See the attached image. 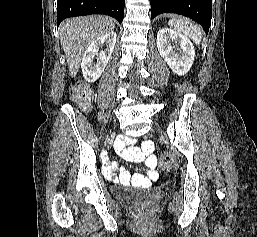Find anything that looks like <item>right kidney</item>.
Listing matches in <instances>:
<instances>
[{
  "label": "right kidney",
  "instance_id": "1",
  "mask_svg": "<svg viewBox=\"0 0 257 237\" xmlns=\"http://www.w3.org/2000/svg\"><path fill=\"white\" fill-rule=\"evenodd\" d=\"M116 38V33L109 31L87 47L81 62L83 77L86 81L95 82L101 76L114 50ZM103 45H106V48L99 51ZM95 57H97L96 62H94Z\"/></svg>",
  "mask_w": 257,
  "mask_h": 237
}]
</instances>
